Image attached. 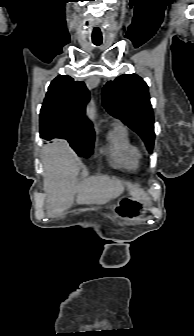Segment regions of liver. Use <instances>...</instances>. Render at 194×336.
Instances as JSON below:
<instances>
[{
	"label": "liver",
	"mask_w": 194,
	"mask_h": 336,
	"mask_svg": "<svg viewBox=\"0 0 194 336\" xmlns=\"http://www.w3.org/2000/svg\"><path fill=\"white\" fill-rule=\"evenodd\" d=\"M44 191L48 193L47 213L58 216L71 207L76 195L77 204H106L119 197L123 183L108 176L78 179L82 163L64 142L46 146L42 154Z\"/></svg>",
	"instance_id": "6515ba94"
}]
</instances>
